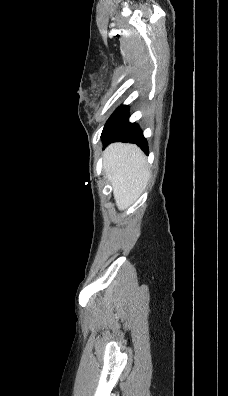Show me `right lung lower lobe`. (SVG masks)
Instances as JSON below:
<instances>
[{
  "label": "right lung lower lobe",
  "mask_w": 228,
  "mask_h": 396,
  "mask_svg": "<svg viewBox=\"0 0 228 396\" xmlns=\"http://www.w3.org/2000/svg\"><path fill=\"white\" fill-rule=\"evenodd\" d=\"M128 106L121 105L111 115L105 124L101 138L106 147L111 142H129L137 144L143 151L148 153V144L139 126L130 123Z\"/></svg>",
  "instance_id": "right-lung-lower-lobe-1"
}]
</instances>
